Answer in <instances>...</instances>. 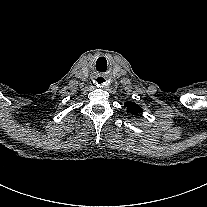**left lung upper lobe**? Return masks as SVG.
I'll use <instances>...</instances> for the list:
<instances>
[{"label":"left lung upper lobe","instance_id":"5c2ea615","mask_svg":"<svg viewBox=\"0 0 207 207\" xmlns=\"http://www.w3.org/2000/svg\"><path fill=\"white\" fill-rule=\"evenodd\" d=\"M124 105L127 108V111L133 115H138L139 113H142L143 111V109L139 105L131 101L125 102Z\"/></svg>","mask_w":207,"mask_h":207}]
</instances>
